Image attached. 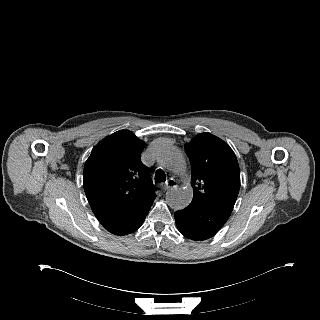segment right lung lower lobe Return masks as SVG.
<instances>
[{
  "mask_svg": "<svg viewBox=\"0 0 320 320\" xmlns=\"http://www.w3.org/2000/svg\"><path fill=\"white\" fill-rule=\"evenodd\" d=\"M150 207L101 222L103 227L115 235H126L136 231L143 223Z\"/></svg>",
  "mask_w": 320,
  "mask_h": 320,
  "instance_id": "right-lung-lower-lobe-1",
  "label": "right lung lower lobe"
}]
</instances>
